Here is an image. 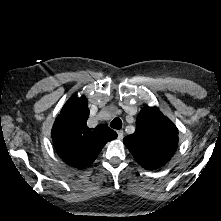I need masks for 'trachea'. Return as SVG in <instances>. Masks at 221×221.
Wrapping results in <instances>:
<instances>
[{"instance_id": "obj_1", "label": "trachea", "mask_w": 221, "mask_h": 221, "mask_svg": "<svg viewBox=\"0 0 221 221\" xmlns=\"http://www.w3.org/2000/svg\"><path fill=\"white\" fill-rule=\"evenodd\" d=\"M110 126L114 129H121L122 128V121L120 118H115L112 120V122L110 123Z\"/></svg>"}]
</instances>
